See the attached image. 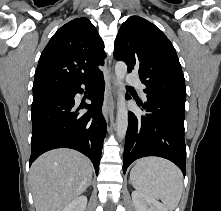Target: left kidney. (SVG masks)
Segmentation results:
<instances>
[{
	"mask_svg": "<svg viewBox=\"0 0 221 211\" xmlns=\"http://www.w3.org/2000/svg\"><path fill=\"white\" fill-rule=\"evenodd\" d=\"M132 200L136 211H168L158 200L139 191L132 192Z\"/></svg>",
	"mask_w": 221,
	"mask_h": 211,
	"instance_id": "1",
	"label": "left kidney"
}]
</instances>
